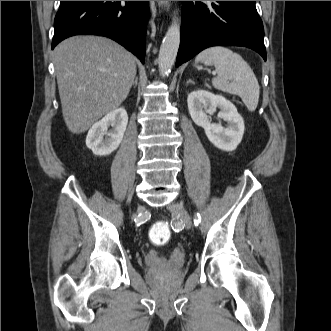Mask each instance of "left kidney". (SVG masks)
Returning <instances> with one entry per match:
<instances>
[{
	"instance_id": "1",
	"label": "left kidney",
	"mask_w": 331,
	"mask_h": 331,
	"mask_svg": "<svg viewBox=\"0 0 331 331\" xmlns=\"http://www.w3.org/2000/svg\"><path fill=\"white\" fill-rule=\"evenodd\" d=\"M188 110L194 123L202 127L209 141L223 151L237 148L244 134V120L236 107L221 95L205 90L193 91L187 98ZM219 108L218 116L228 123L223 127L220 123H211L207 114Z\"/></svg>"
}]
</instances>
